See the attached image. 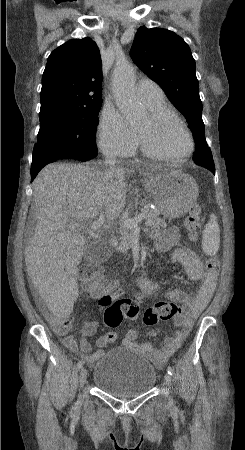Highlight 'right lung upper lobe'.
Here are the masks:
<instances>
[{
    "mask_svg": "<svg viewBox=\"0 0 245 450\" xmlns=\"http://www.w3.org/2000/svg\"><path fill=\"white\" fill-rule=\"evenodd\" d=\"M99 49L90 38L72 39L48 57L42 76L41 109L63 104L92 108L102 104Z\"/></svg>",
    "mask_w": 245,
    "mask_h": 450,
    "instance_id": "1",
    "label": "right lung upper lobe"
}]
</instances>
